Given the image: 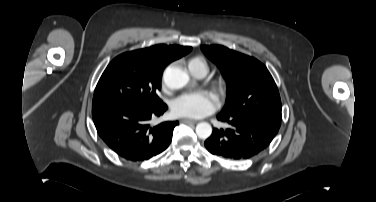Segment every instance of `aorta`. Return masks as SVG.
I'll use <instances>...</instances> for the list:
<instances>
[{"mask_svg": "<svg viewBox=\"0 0 376 202\" xmlns=\"http://www.w3.org/2000/svg\"><path fill=\"white\" fill-rule=\"evenodd\" d=\"M163 80L170 89H181L189 82V75L181 68L176 66L168 67L164 74ZM212 133V127L207 122H201L196 126V134L201 139H207Z\"/></svg>", "mask_w": 376, "mask_h": 202, "instance_id": "aorta-1", "label": "aorta"}]
</instances>
